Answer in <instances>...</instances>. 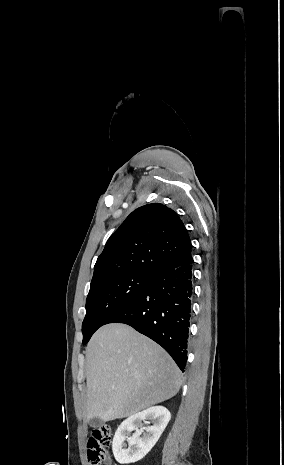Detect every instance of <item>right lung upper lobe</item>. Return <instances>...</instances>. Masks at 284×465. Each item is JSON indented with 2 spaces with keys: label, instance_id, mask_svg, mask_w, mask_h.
<instances>
[{
  "label": "right lung upper lobe",
  "instance_id": "right-lung-upper-lobe-1",
  "mask_svg": "<svg viewBox=\"0 0 284 465\" xmlns=\"http://www.w3.org/2000/svg\"><path fill=\"white\" fill-rule=\"evenodd\" d=\"M175 211L160 203L134 210L108 239L94 266L91 285L125 274L154 276L191 250Z\"/></svg>",
  "mask_w": 284,
  "mask_h": 465
}]
</instances>
